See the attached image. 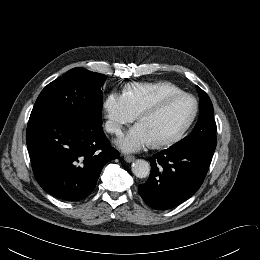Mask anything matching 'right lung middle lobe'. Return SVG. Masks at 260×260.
<instances>
[{"label":"right lung middle lobe","instance_id":"right-lung-middle-lobe-1","mask_svg":"<svg viewBox=\"0 0 260 260\" xmlns=\"http://www.w3.org/2000/svg\"><path fill=\"white\" fill-rule=\"evenodd\" d=\"M103 74L73 68L49 83L38 96L30 116L62 114L102 123Z\"/></svg>","mask_w":260,"mask_h":260}]
</instances>
